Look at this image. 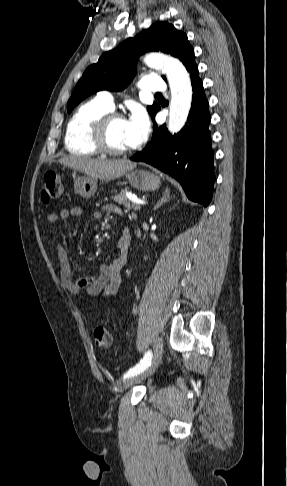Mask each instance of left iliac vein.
I'll return each mask as SVG.
<instances>
[{
  "label": "left iliac vein",
  "instance_id": "4c4485c4",
  "mask_svg": "<svg viewBox=\"0 0 287 486\" xmlns=\"http://www.w3.org/2000/svg\"><path fill=\"white\" fill-rule=\"evenodd\" d=\"M162 355H163V342L161 339L158 338L154 341V356L151 361V364L139 374L129 377L124 383V389L125 390L129 389L134 384L140 383L141 381L146 379L149 375H151L158 367Z\"/></svg>",
  "mask_w": 287,
  "mask_h": 486
}]
</instances>
